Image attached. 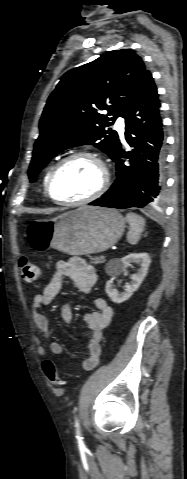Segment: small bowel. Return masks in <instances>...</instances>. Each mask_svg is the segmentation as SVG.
<instances>
[{
  "label": "small bowel",
  "instance_id": "1",
  "mask_svg": "<svg viewBox=\"0 0 187 479\" xmlns=\"http://www.w3.org/2000/svg\"><path fill=\"white\" fill-rule=\"evenodd\" d=\"M71 279L76 285L78 291L87 294L94 287L97 275L94 267L79 257H72L67 260H60L56 263L55 271L50 282L41 292L34 296L30 307V316L36 328L43 333L45 340L49 341V349L53 354H61L63 346L57 341L51 340L49 323L41 308L52 303L58 296L63 280ZM95 311L85 315L86 333L88 342V357L82 364L85 371L93 370L99 363L101 353L100 342L104 329L109 325L113 317V309L107 301L98 297L94 300ZM62 320L70 324L73 320L72 301L68 300L60 311ZM37 353L41 357H46V350L39 338H36ZM44 363V362H43Z\"/></svg>",
  "mask_w": 187,
  "mask_h": 479
}]
</instances>
